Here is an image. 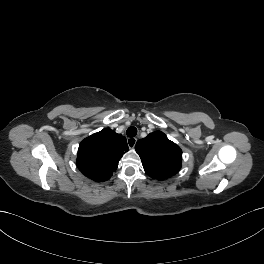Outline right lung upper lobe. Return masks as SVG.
Returning <instances> with one entry per match:
<instances>
[{"label": "right lung upper lobe", "mask_w": 264, "mask_h": 264, "mask_svg": "<svg viewBox=\"0 0 264 264\" xmlns=\"http://www.w3.org/2000/svg\"><path fill=\"white\" fill-rule=\"evenodd\" d=\"M128 150L124 136L105 128L80 143L77 166L88 178L97 182L106 181Z\"/></svg>", "instance_id": "obj_1"}]
</instances>
